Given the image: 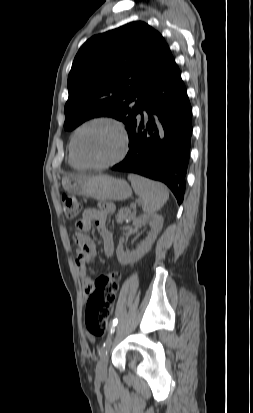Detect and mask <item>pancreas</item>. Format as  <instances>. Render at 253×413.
I'll use <instances>...</instances> for the list:
<instances>
[{"instance_id": "cf45deb5", "label": "pancreas", "mask_w": 253, "mask_h": 413, "mask_svg": "<svg viewBox=\"0 0 253 413\" xmlns=\"http://www.w3.org/2000/svg\"><path fill=\"white\" fill-rule=\"evenodd\" d=\"M131 214V211L129 208H122L119 210L117 216H116V221L118 223H123L125 220H127L128 216Z\"/></svg>"}]
</instances>
